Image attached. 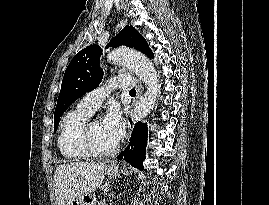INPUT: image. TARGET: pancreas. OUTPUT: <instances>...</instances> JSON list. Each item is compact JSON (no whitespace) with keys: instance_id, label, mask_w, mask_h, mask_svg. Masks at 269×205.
Returning <instances> with one entry per match:
<instances>
[{"instance_id":"cf45deb5","label":"pancreas","mask_w":269,"mask_h":205,"mask_svg":"<svg viewBox=\"0 0 269 205\" xmlns=\"http://www.w3.org/2000/svg\"><path fill=\"white\" fill-rule=\"evenodd\" d=\"M97 205H105L104 203H102V202H100V203H98Z\"/></svg>"}]
</instances>
